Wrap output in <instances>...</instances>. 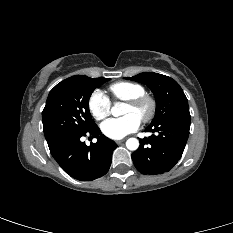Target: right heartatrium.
I'll return each instance as SVG.
<instances>
[{
	"mask_svg": "<svg viewBox=\"0 0 233 233\" xmlns=\"http://www.w3.org/2000/svg\"><path fill=\"white\" fill-rule=\"evenodd\" d=\"M88 109L96 120H102L110 114L111 103L100 90H95L89 97Z\"/></svg>",
	"mask_w": 233,
	"mask_h": 233,
	"instance_id": "1",
	"label": "right heart atrium"
}]
</instances>
